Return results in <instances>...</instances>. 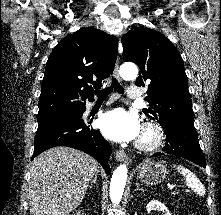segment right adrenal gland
<instances>
[{
  "instance_id": "obj_1",
  "label": "right adrenal gland",
  "mask_w": 221,
  "mask_h": 215,
  "mask_svg": "<svg viewBox=\"0 0 221 215\" xmlns=\"http://www.w3.org/2000/svg\"><path fill=\"white\" fill-rule=\"evenodd\" d=\"M97 181V175L94 176V179L90 183V188H92L93 184H96Z\"/></svg>"
}]
</instances>
